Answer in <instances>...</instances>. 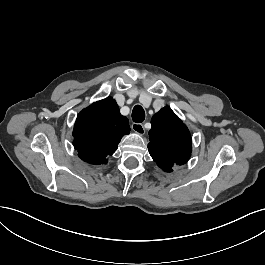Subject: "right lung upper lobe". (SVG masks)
I'll use <instances>...</instances> for the list:
<instances>
[{
  "instance_id": "cb5924a9",
  "label": "right lung upper lobe",
  "mask_w": 265,
  "mask_h": 265,
  "mask_svg": "<svg viewBox=\"0 0 265 265\" xmlns=\"http://www.w3.org/2000/svg\"><path fill=\"white\" fill-rule=\"evenodd\" d=\"M130 130L128 119L120 114L115 100L108 97L80 112L74 125L73 145L83 161L106 164Z\"/></svg>"
}]
</instances>
